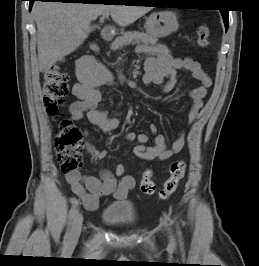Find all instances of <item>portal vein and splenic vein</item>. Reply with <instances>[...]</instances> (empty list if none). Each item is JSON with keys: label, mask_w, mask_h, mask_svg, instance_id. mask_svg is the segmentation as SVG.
Segmentation results:
<instances>
[{"label": "portal vein and splenic vein", "mask_w": 259, "mask_h": 266, "mask_svg": "<svg viewBox=\"0 0 259 266\" xmlns=\"http://www.w3.org/2000/svg\"><path fill=\"white\" fill-rule=\"evenodd\" d=\"M109 16V13H103L101 19L104 20L105 18H108Z\"/></svg>", "instance_id": "18ae733b"}]
</instances>
